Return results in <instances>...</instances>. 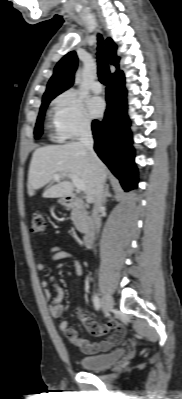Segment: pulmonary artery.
I'll return each mask as SVG.
<instances>
[{
  "label": "pulmonary artery",
  "instance_id": "obj_1",
  "mask_svg": "<svg viewBox=\"0 0 182 399\" xmlns=\"http://www.w3.org/2000/svg\"><path fill=\"white\" fill-rule=\"evenodd\" d=\"M91 90H92L94 93L99 94V93L102 92L103 87H102V85H101L100 82L95 81V82H93L92 85H91Z\"/></svg>",
  "mask_w": 182,
  "mask_h": 399
}]
</instances>
